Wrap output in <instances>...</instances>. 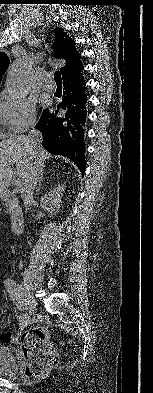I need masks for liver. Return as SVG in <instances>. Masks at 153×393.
I'll return each mask as SVG.
<instances>
[{
  "mask_svg": "<svg viewBox=\"0 0 153 393\" xmlns=\"http://www.w3.org/2000/svg\"><path fill=\"white\" fill-rule=\"evenodd\" d=\"M47 158L45 150L38 146L31 149L28 137L19 135L0 142V194L9 186L14 175H17L21 186L30 174L36 160ZM15 165V168H14Z\"/></svg>",
  "mask_w": 153,
  "mask_h": 393,
  "instance_id": "6515ba94",
  "label": "liver"
}]
</instances>
